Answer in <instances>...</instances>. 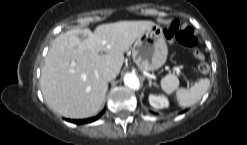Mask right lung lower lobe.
<instances>
[{
  "label": "right lung lower lobe",
  "mask_w": 247,
  "mask_h": 145,
  "mask_svg": "<svg viewBox=\"0 0 247 145\" xmlns=\"http://www.w3.org/2000/svg\"><path fill=\"white\" fill-rule=\"evenodd\" d=\"M101 115H102V113L99 114L98 116L94 117V118H89V119H84V120H68V121H72L75 124H84V123H88V122H92V121L97 120Z\"/></svg>",
  "instance_id": "right-lung-lower-lobe-1"
}]
</instances>
